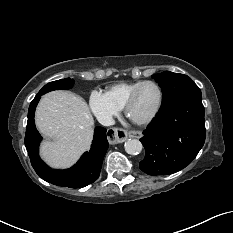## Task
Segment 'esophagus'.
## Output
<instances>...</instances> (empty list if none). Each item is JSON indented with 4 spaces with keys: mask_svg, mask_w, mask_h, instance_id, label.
I'll return each instance as SVG.
<instances>
[{
    "mask_svg": "<svg viewBox=\"0 0 233 233\" xmlns=\"http://www.w3.org/2000/svg\"><path fill=\"white\" fill-rule=\"evenodd\" d=\"M132 137L140 138L141 132L140 131H132L130 132ZM128 132L122 128H110L106 133V140L110 144H118L122 143L127 139Z\"/></svg>",
    "mask_w": 233,
    "mask_h": 233,
    "instance_id": "obj_1",
    "label": "esophagus"
}]
</instances>
